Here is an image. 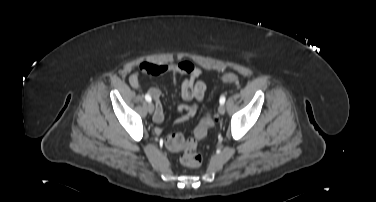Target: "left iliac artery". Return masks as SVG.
Here are the masks:
<instances>
[{
	"mask_svg": "<svg viewBox=\"0 0 376 202\" xmlns=\"http://www.w3.org/2000/svg\"><path fill=\"white\" fill-rule=\"evenodd\" d=\"M225 100H226L225 96H221L219 100L220 104H224Z\"/></svg>",
	"mask_w": 376,
	"mask_h": 202,
	"instance_id": "obj_1",
	"label": "left iliac artery"
}]
</instances>
